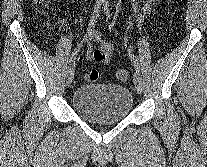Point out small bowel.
<instances>
[{"mask_svg": "<svg viewBox=\"0 0 207 167\" xmlns=\"http://www.w3.org/2000/svg\"><path fill=\"white\" fill-rule=\"evenodd\" d=\"M158 0H144L142 13H137L138 22H143L152 11L153 5ZM133 10L138 11L137 0H130ZM88 48L85 54V59L94 62H101L105 65L109 64L114 53V46L111 43L103 41L100 33L93 30L89 33L88 37ZM84 59L83 56L76 55L75 61L80 62Z\"/></svg>", "mask_w": 207, "mask_h": 167, "instance_id": "c3829d8e", "label": "small bowel"}]
</instances>
